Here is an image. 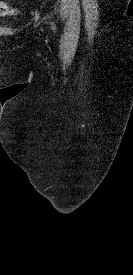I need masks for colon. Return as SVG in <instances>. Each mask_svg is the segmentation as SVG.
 Listing matches in <instances>:
<instances>
[{"label":"colon","instance_id":"obj_1","mask_svg":"<svg viewBox=\"0 0 133 275\" xmlns=\"http://www.w3.org/2000/svg\"><path fill=\"white\" fill-rule=\"evenodd\" d=\"M14 13V10L7 3L0 1V16H7Z\"/></svg>","mask_w":133,"mask_h":275}]
</instances>
